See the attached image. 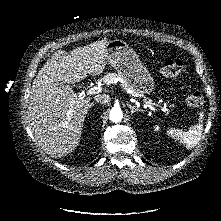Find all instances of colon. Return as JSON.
<instances>
[{"instance_id":"5ec220e1","label":"colon","mask_w":221,"mask_h":221,"mask_svg":"<svg viewBox=\"0 0 221 221\" xmlns=\"http://www.w3.org/2000/svg\"><path fill=\"white\" fill-rule=\"evenodd\" d=\"M184 71V64L180 59L173 58L167 60L160 68V73L166 78H174L181 75ZM188 105L199 107L203 104V96L198 90L189 93L186 99Z\"/></svg>"}]
</instances>
